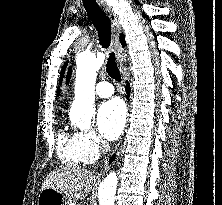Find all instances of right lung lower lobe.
<instances>
[{"label":"right lung lower lobe","instance_id":"98d812e1","mask_svg":"<svg viewBox=\"0 0 222 205\" xmlns=\"http://www.w3.org/2000/svg\"><path fill=\"white\" fill-rule=\"evenodd\" d=\"M126 91H127V96H126V98L128 99V97H129V91H130V85H129L128 82H127V86H126Z\"/></svg>","mask_w":222,"mask_h":205}]
</instances>
